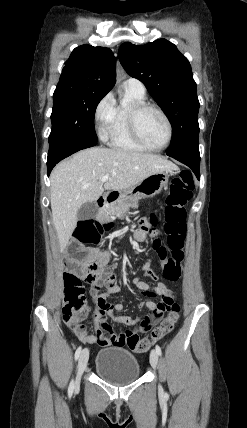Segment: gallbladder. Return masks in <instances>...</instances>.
<instances>
[{
  "label": "gallbladder",
  "mask_w": 247,
  "mask_h": 428,
  "mask_svg": "<svg viewBox=\"0 0 247 428\" xmlns=\"http://www.w3.org/2000/svg\"><path fill=\"white\" fill-rule=\"evenodd\" d=\"M98 213V207L95 202H87L81 206L77 213V219L79 221H85L96 217Z\"/></svg>",
  "instance_id": "1"
}]
</instances>
